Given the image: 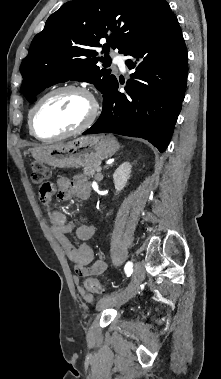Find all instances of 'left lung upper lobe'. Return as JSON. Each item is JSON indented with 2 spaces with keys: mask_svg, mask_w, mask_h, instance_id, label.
<instances>
[{
  "mask_svg": "<svg viewBox=\"0 0 221 379\" xmlns=\"http://www.w3.org/2000/svg\"><path fill=\"white\" fill-rule=\"evenodd\" d=\"M165 0H72L46 21L21 64L22 92L29 101L46 87L68 80L93 83L103 94L116 80L98 61L109 48L124 53L155 22ZM105 42L99 57L96 51ZM105 66V65H104Z\"/></svg>",
  "mask_w": 221,
  "mask_h": 379,
  "instance_id": "left-lung-upper-lobe-1",
  "label": "left lung upper lobe"
}]
</instances>
